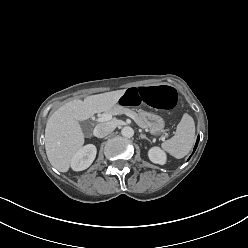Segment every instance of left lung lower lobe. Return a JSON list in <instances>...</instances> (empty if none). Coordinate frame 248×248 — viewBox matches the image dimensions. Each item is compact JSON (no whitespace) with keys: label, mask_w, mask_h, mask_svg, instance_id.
<instances>
[{"label":"left lung lower lobe","mask_w":248,"mask_h":248,"mask_svg":"<svg viewBox=\"0 0 248 248\" xmlns=\"http://www.w3.org/2000/svg\"><path fill=\"white\" fill-rule=\"evenodd\" d=\"M198 142H199V137L197 138L196 145H195V147H194V151H195V149H196V147H197Z\"/></svg>","instance_id":"obj_1"}]
</instances>
